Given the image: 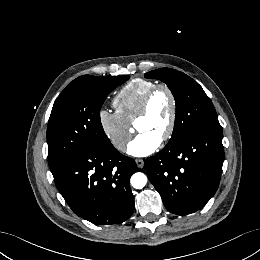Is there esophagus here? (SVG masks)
<instances>
[{
  "instance_id": "obj_1",
  "label": "esophagus",
  "mask_w": 260,
  "mask_h": 260,
  "mask_svg": "<svg viewBox=\"0 0 260 260\" xmlns=\"http://www.w3.org/2000/svg\"><path fill=\"white\" fill-rule=\"evenodd\" d=\"M136 164L139 168H142L144 166V160L143 159H136Z\"/></svg>"
}]
</instances>
